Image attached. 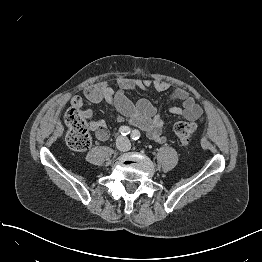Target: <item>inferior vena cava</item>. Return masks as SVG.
<instances>
[{
  "instance_id": "1",
  "label": "inferior vena cava",
  "mask_w": 262,
  "mask_h": 262,
  "mask_svg": "<svg viewBox=\"0 0 262 262\" xmlns=\"http://www.w3.org/2000/svg\"><path fill=\"white\" fill-rule=\"evenodd\" d=\"M117 148L120 151H127L130 148V141L126 137H119L116 142Z\"/></svg>"
}]
</instances>
